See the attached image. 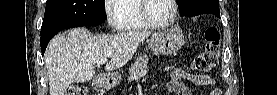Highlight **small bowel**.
Here are the masks:
<instances>
[{
	"label": "small bowel",
	"instance_id": "obj_1",
	"mask_svg": "<svg viewBox=\"0 0 277 95\" xmlns=\"http://www.w3.org/2000/svg\"><path fill=\"white\" fill-rule=\"evenodd\" d=\"M166 71L170 74V81L167 83L166 89L169 94L191 95V90L185 84V80L196 85L210 86L215 84V78L208 75H199L188 72L187 70L177 67L168 66ZM208 94L218 95L221 91L212 89Z\"/></svg>",
	"mask_w": 277,
	"mask_h": 95
}]
</instances>
